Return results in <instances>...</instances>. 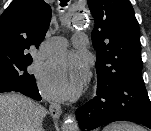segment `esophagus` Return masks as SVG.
I'll use <instances>...</instances> for the list:
<instances>
[{
  "label": "esophagus",
  "mask_w": 151,
  "mask_h": 131,
  "mask_svg": "<svg viewBox=\"0 0 151 131\" xmlns=\"http://www.w3.org/2000/svg\"><path fill=\"white\" fill-rule=\"evenodd\" d=\"M49 111L51 116L59 118L62 115V109L59 103L51 102L49 105Z\"/></svg>",
  "instance_id": "obj_1"
}]
</instances>
